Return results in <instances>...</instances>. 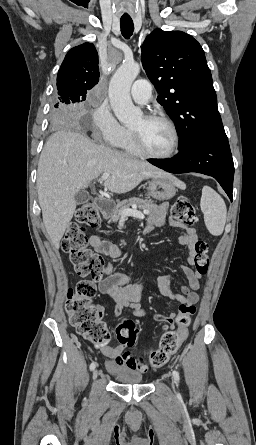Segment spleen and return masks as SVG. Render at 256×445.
Returning <instances> with one entry per match:
<instances>
[{
	"label": "spleen",
	"instance_id": "1",
	"mask_svg": "<svg viewBox=\"0 0 256 445\" xmlns=\"http://www.w3.org/2000/svg\"><path fill=\"white\" fill-rule=\"evenodd\" d=\"M204 222L210 234L219 236L226 223L227 208L222 197L211 187L204 186L200 201Z\"/></svg>",
	"mask_w": 256,
	"mask_h": 445
}]
</instances>
